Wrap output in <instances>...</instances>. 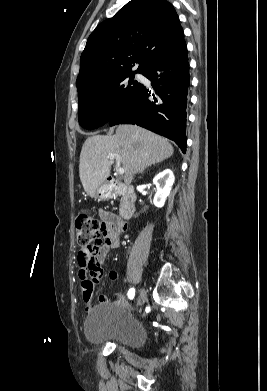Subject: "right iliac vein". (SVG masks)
Here are the masks:
<instances>
[{
    "instance_id": "right-iliac-vein-1",
    "label": "right iliac vein",
    "mask_w": 267,
    "mask_h": 391,
    "mask_svg": "<svg viewBox=\"0 0 267 391\" xmlns=\"http://www.w3.org/2000/svg\"><path fill=\"white\" fill-rule=\"evenodd\" d=\"M145 299H146V290L143 288L139 293V297L136 302V308L141 306L145 302Z\"/></svg>"
}]
</instances>
